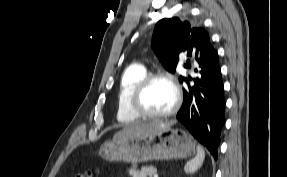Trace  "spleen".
<instances>
[{
  "instance_id": "3e777b00",
  "label": "spleen",
  "mask_w": 287,
  "mask_h": 177,
  "mask_svg": "<svg viewBox=\"0 0 287 177\" xmlns=\"http://www.w3.org/2000/svg\"><path fill=\"white\" fill-rule=\"evenodd\" d=\"M205 159V152L201 146H197V155L192 160L188 161L184 167L186 173H193L197 171L203 164Z\"/></svg>"
}]
</instances>
